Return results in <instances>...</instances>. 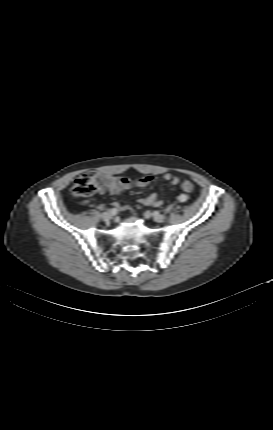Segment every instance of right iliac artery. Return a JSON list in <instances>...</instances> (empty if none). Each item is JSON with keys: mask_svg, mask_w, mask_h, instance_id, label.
<instances>
[{"mask_svg": "<svg viewBox=\"0 0 273 430\" xmlns=\"http://www.w3.org/2000/svg\"><path fill=\"white\" fill-rule=\"evenodd\" d=\"M111 212H112L113 215H115L117 213V209L116 208H112Z\"/></svg>", "mask_w": 273, "mask_h": 430, "instance_id": "right-iliac-artery-1", "label": "right iliac artery"}]
</instances>
